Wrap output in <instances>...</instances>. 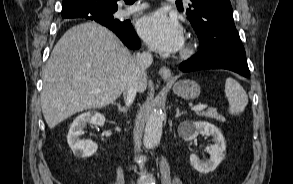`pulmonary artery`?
Here are the masks:
<instances>
[{"mask_svg":"<svg viewBox=\"0 0 293 184\" xmlns=\"http://www.w3.org/2000/svg\"><path fill=\"white\" fill-rule=\"evenodd\" d=\"M169 1H173V0H169ZM143 8H144V5H134V6H130V7H127L125 9L121 10L120 13L122 15H129V14L135 13Z\"/></svg>","mask_w":293,"mask_h":184,"instance_id":"obj_1","label":"pulmonary artery"}]
</instances>
